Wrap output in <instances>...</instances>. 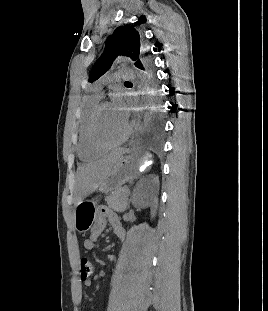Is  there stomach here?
Here are the masks:
<instances>
[{
	"label": "stomach",
	"mask_w": 268,
	"mask_h": 311,
	"mask_svg": "<svg viewBox=\"0 0 268 311\" xmlns=\"http://www.w3.org/2000/svg\"><path fill=\"white\" fill-rule=\"evenodd\" d=\"M147 160L136 149L127 150L118 158L107 178L99 186L102 193H112L121 189L126 182L133 181L140 175V167ZM96 202L83 200L77 204L74 212V226L78 232H87L95 219Z\"/></svg>",
	"instance_id": "0dacf381"
}]
</instances>
